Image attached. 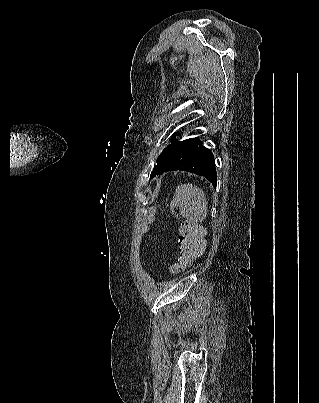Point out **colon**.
<instances>
[{"label": "colon", "instance_id": "5ec220e1", "mask_svg": "<svg viewBox=\"0 0 319 403\" xmlns=\"http://www.w3.org/2000/svg\"><path fill=\"white\" fill-rule=\"evenodd\" d=\"M178 233L181 247L177 263L173 269L190 265L194 259L204 252L206 246L203 230L194 222L187 221L181 224Z\"/></svg>", "mask_w": 319, "mask_h": 403}]
</instances>
